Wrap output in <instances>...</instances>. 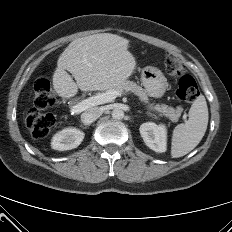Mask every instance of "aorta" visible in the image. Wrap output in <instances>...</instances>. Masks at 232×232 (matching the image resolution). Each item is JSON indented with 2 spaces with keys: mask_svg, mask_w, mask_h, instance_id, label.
I'll list each match as a JSON object with an SVG mask.
<instances>
[{
  "mask_svg": "<svg viewBox=\"0 0 232 232\" xmlns=\"http://www.w3.org/2000/svg\"><path fill=\"white\" fill-rule=\"evenodd\" d=\"M112 117L114 119H117V120L123 119L124 118V112H123V110H121V109H114L112 111Z\"/></svg>",
  "mask_w": 232,
  "mask_h": 232,
  "instance_id": "aorta-1",
  "label": "aorta"
}]
</instances>
